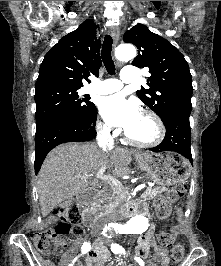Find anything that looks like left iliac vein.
I'll return each mask as SVG.
<instances>
[{
	"mask_svg": "<svg viewBox=\"0 0 221 266\" xmlns=\"http://www.w3.org/2000/svg\"><path fill=\"white\" fill-rule=\"evenodd\" d=\"M101 249H102V250H106L105 247H103V246H101ZM106 251H107V250H106Z\"/></svg>",
	"mask_w": 221,
	"mask_h": 266,
	"instance_id": "4c4485c4",
	"label": "left iliac vein"
}]
</instances>
